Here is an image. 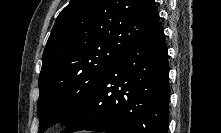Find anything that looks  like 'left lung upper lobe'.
Segmentation results:
<instances>
[{
    "label": "left lung upper lobe",
    "instance_id": "5c2ea615",
    "mask_svg": "<svg viewBox=\"0 0 221 133\" xmlns=\"http://www.w3.org/2000/svg\"><path fill=\"white\" fill-rule=\"evenodd\" d=\"M158 20L154 0H71L58 15L43 52L40 132L57 119L68 126L110 65Z\"/></svg>",
    "mask_w": 221,
    "mask_h": 133
}]
</instances>
